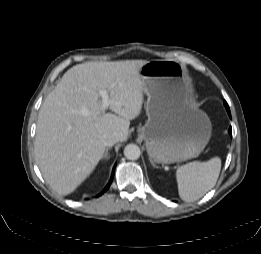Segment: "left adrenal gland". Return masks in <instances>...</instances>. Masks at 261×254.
<instances>
[{
  "label": "left adrenal gland",
  "mask_w": 261,
  "mask_h": 254,
  "mask_svg": "<svg viewBox=\"0 0 261 254\" xmlns=\"http://www.w3.org/2000/svg\"><path fill=\"white\" fill-rule=\"evenodd\" d=\"M150 162H151V164L154 166V167H156V165L152 162V160L150 159Z\"/></svg>",
  "instance_id": "obj_1"
}]
</instances>
